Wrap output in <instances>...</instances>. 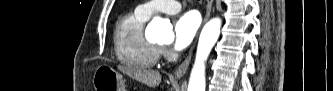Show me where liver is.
<instances>
[{"mask_svg": "<svg viewBox=\"0 0 333 91\" xmlns=\"http://www.w3.org/2000/svg\"><path fill=\"white\" fill-rule=\"evenodd\" d=\"M118 69L129 77L149 87L154 88L161 83V74L159 71L146 70L131 66H118Z\"/></svg>", "mask_w": 333, "mask_h": 91, "instance_id": "6515ba94", "label": "liver"}]
</instances>
